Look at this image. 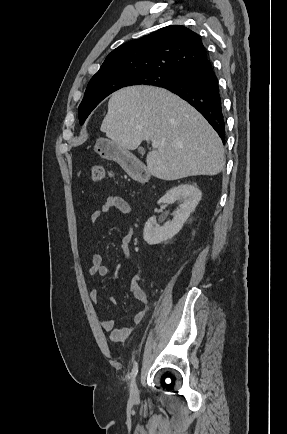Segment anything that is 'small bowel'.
<instances>
[{"mask_svg":"<svg viewBox=\"0 0 287 434\" xmlns=\"http://www.w3.org/2000/svg\"><path fill=\"white\" fill-rule=\"evenodd\" d=\"M115 210L120 214L128 217L131 214V207L127 201L123 198L112 195L109 196L104 204L97 210H95L91 215V221L93 223L99 222V220L109 211ZM133 232L131 228H128L126 233L121 239V248L126 261L129 259L130 246L132 243ZM92 265L89 269V274L91 276H108L110 270L108 266L103 263L102 256L98 253H93L91 257ZM130 293L131 295L141 303V309L136 312L133 318L134 326L117 328L115 327L114 320L112 318H104L101 320V327L108 332L109 338L114 342L125 341L133 332L135 326L140 325L146 315L147 297L144 289L140 284V278L138 275H134L130 282ZM89 298L91 302L97 304L99 301V293L97 290H91L89 293ZM110 301H114L111 297Z\"/></svg>","mask_w":287,"mask_h":434,"instance_id":"obj_1","label":"small bowel"}]
</instances>
